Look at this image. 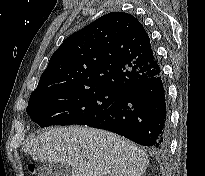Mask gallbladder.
<instances>
[{"label": "gallbladder", "mask_w": 205, "mask_h": 176, "mask_svg": "<svg viewBox=\"0 0 205 176\" xmlns=\"http://www.w3.org/2000/svg\"><path fill=\"white\" fill-rule=\"evenodd\" d=\"M38 176H71V168L58 162H44L38 167Z\"/></svg>", "instance_id": "gallbladder-1"}]
</instances>
